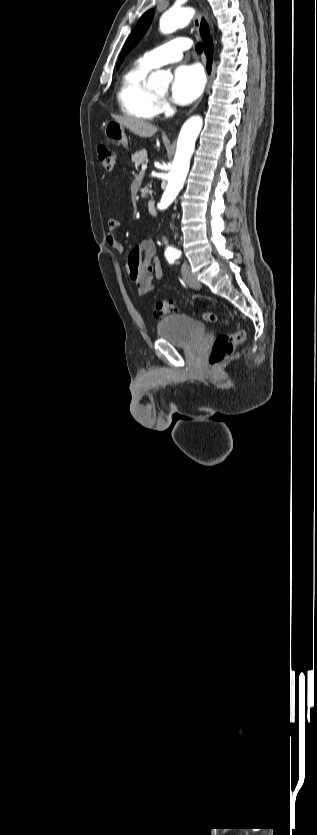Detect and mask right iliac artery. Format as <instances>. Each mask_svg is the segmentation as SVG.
<instances>
[{
    "instance_id": "obj_1",
    "label": "right iliac artery",
    "mask_w": 317,
    "mask_h": 835,
    "mask_svg": "<svg viewBox=\"0 0 317 835\" xmlns=\"http://www.w3.org/2000/svg\"><path fill=\"white\" fill-rule=\"evenodd\" d=\"M168 260H169L170 263H173V261H174L173 259H168Z\"/></svg>"
}]
</instances>
